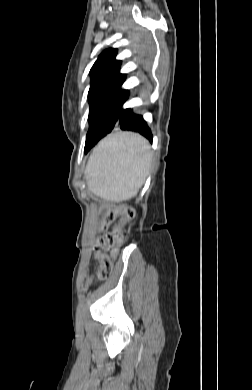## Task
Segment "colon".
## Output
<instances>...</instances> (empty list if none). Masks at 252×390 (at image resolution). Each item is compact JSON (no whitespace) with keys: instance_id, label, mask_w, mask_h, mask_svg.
<instances>
[{"instance_id":"obj_1","label":"colon","mask_w":252,"mask_h":390,"mask_svg":"<svg viewBox=\"0 0 252 390\" xmlns=\"http://www.w3.org/2000/svg\"><path fill=\"white\" fill-rule=\"evenodd\" d=\"M123 215V221L129 220L134 216L132 208L125 204H115L107 208L100 222V229L104 233L96 240V254L99 260V267L96 271L98 280H105L112 270V260L116 258L120 247L123 244V234L121 224L114 225L110 231L109 227L114 222L117 215ZM105 252H108L107 255Z\"/></svg>"}]
</instances>
